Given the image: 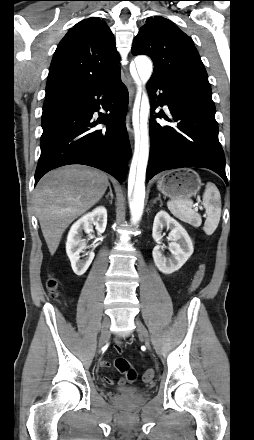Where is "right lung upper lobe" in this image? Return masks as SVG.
Masks as SVG:
<instances>
[{"instance_id":"cb5924a9","label":"right lung upper lobe","mask_w":254,"mask_h":440,"mask_svg":"<svg viewBox=\"0 0 254 440\" xmlns=\"http://www.w3.org/2000/svg\"><path fill=\"white\" fill-rule=\"evenodd\" d=\"M119 54L105 22L90 17L77 23L60 41L46 86V97L83 84L120 80Z\"/></svg>"}]
</instances>
